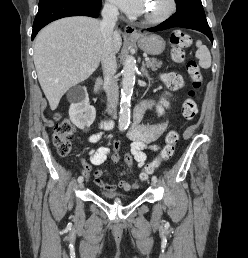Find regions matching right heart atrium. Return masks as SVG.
Returning <instances> with one entry per match:
<instances>
[{
	"mask_svg": "<svg viewBox=\"0 0 248 258\" xmlns=\"http://www.w3.org/2000/svg\"><path fill=\"white\" fill-rule=\"evenodd\" d=\"M106 9H107V11H109L111 13H116L117 12L116 7L110 2L106 3Z\"/></svg>",
	"mask_w": 248,
	"mask_h": 258,
	"instance_id": "1",
	"label": "right heart atrium"
}]
</instances>
